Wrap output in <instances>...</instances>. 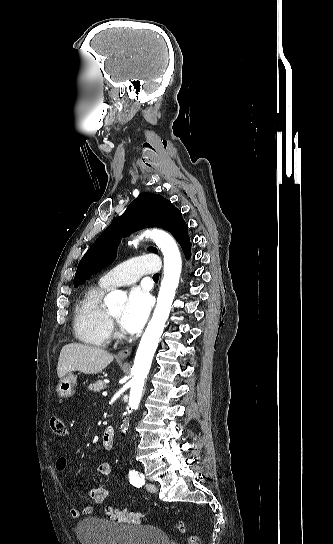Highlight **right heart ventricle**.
Wrapping results in <instances>:
<instances>
[{
	"label": "right heart ventricle",
	"mask_w": 333,
	"mask_h": 544,
	"mask_svg": "<svg viewBox=\"0 0 333 544\" xmlns=\"http://www.w3.org/2000/svg\"><path fill=\"white\" fill-rule=\"evenodd\" d=\"M107 289L100 283L91 287L75 308L74 332L86 344L103 347L109 342L111 323L102 302Z\"/></svg>",
	"instance_id": "1"
}]
</instances>
